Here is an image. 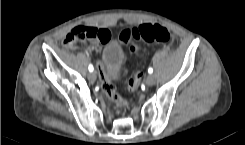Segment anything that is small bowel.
Listing matches in <instances>:
<instances>
[{"label":"small bowel","mask_w":245,"mask_h":145,"mask_svg":"<svg viewBox=\"0 0 245 145\" xmlns=\"http://www.w3.org/2000/svg\"><path fill=\"white\" fill-rule=\"evenodd\" d=\"M92 28L96 29L97 31L101 32L100 36H98L94 41L91 42L88 51L90 52H99L101 45L108 41L112 35V30L111 28H99L92 26ZM99 69L101 71L102 77L107 76V73L102 66V64H99Z\"/></svg>","instance_id":"1"}]
</instances>
